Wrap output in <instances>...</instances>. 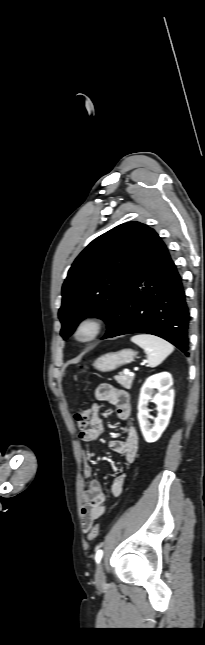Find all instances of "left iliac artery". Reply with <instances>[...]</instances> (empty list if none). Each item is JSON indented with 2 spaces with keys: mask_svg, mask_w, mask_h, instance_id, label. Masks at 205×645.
<instances>
[{
  "mask_svg": "<svg viewBox=\"0 0 205 645\" xmlns=\"http://www.w3.org/2000/svg\"><path fill=\"white\" fill-rule=\"evenodd\" d=\"M102 556H103V551H102V550H98V551H97V553H96V555H95V561H96V563H99V562L101 561Z\"/></svg>",
  "mask_w": 205,
  "mask_h": 645,
  "instance_id": "1",
  "label": "left iliac artery"
}]
</instances>
